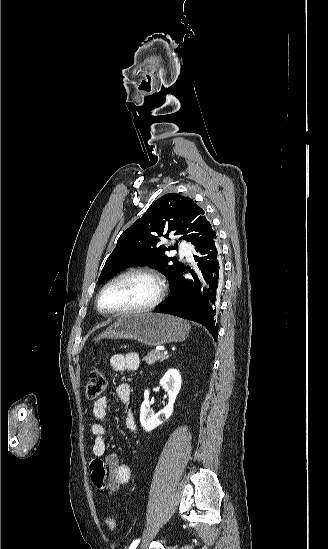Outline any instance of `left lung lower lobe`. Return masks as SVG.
I'll use <instances>...</instances> for the list:
<instances>
[{
	"mask_svg": "<svg viewBox=\"0 0 328 549\" xmlns=\"http://www.w3.org/2000/svg\"><path fill=\"white\" fill-rule=\"evenodd\" d=\"M216 237L195 250L194 260L197 268L191 272L193 279L183 277V272L170 286L166 301L156 307L154 312L170 314L193 320L204 325L217 340L218 325L215 316L219 308V299L223 286V273L220 250Z\"/></svg>",
	"mask_w": 328,
	"mask_h": 549,
	"instance_id": "1",
	"label": "left lung lower lobe"
}]
</instances>
